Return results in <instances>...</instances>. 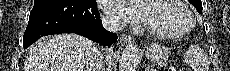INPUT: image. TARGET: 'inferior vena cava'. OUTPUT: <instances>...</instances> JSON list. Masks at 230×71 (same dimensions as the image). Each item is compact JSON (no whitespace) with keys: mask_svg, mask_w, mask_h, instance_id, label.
<instances>
[{"mask_svg":"<svg viewBox=\"0 0 230 71\" xmlns=\"http://www.w3.org/2000/svg\"><path fill=\"white\" fill-rule=\"evenodd\" d=\"M102 23L103 26L111 32H118L123 28L122 23L114 20L113 18L105 16L102 17ZM102 64V54L97 50V48H93L91 55L88 57L86 61V71H100Z\"/></svg>","mask_w":230,"mask_h":71,"instance_id":"inferior-vena-cava-1","label":"inferior vena cava"}]
</instances>
